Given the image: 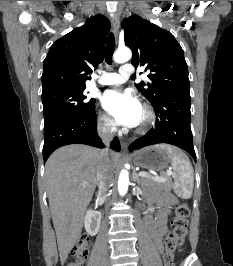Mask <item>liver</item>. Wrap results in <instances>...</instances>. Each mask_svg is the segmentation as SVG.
I'll use <instances>...</instances> for the list:
<instances>
[{
  "instance_id": "1",
  "label": "liver",
  "mask_w": 233,
  "mask_h": 266,
  "mask_svg": "<svg viewBox=\"0 0 233 266\" xmlns=\"http://www.w3.org/2000/svg\"><path fill=\"white\" fill-rule=\"evenodd\" d=\"M118 161L119 155L111 152L108 166L112 174ZM99 166L100 151L82 144L63 146L46 162L49 206L62 264L80 238L84 213L97 185Z\"/></svg>"
}]
</instances>
